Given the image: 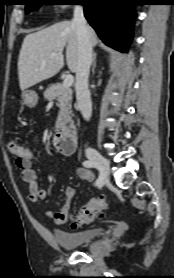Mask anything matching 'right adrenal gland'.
Returning a JSON list of instances; mask_svg holds the SVG:
<instances>
[{
  "label": "right adrenal gland",
  "instance_id": "2a0ac1e0",
  "mask_svg": "<svg viewBox=\"0 0 174 278\" xmlns=\"http://www.w3.org/2000/svg\"><path fill=\"white\" fill-rule=\"evenodd\" d=\"M96 68V53L93 54L92 72L94 74Z\"/></svg>",
  "mask_w": 174,
  "mask_h": 278
}]
</instances>
